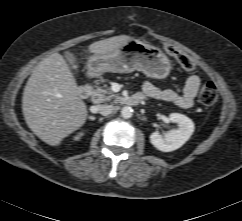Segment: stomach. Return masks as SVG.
<instances>
[{"mask_svg":"<svg viewBox=\"0 0 242 221\" xmlns=\"http://www.w3.org/2000/svg\"><path fill=\"white\" fill-rule=\"evenodd\" d=\"M87 70L91 76L138 70L147 77L164 79L169 75L171 63L159 48L137 39H129L115 52L90 56Z\"/></svg>","mask_w":242,"mask_h":221,"instance_id":"obj_1","label":"stomach"}]
</instances>
